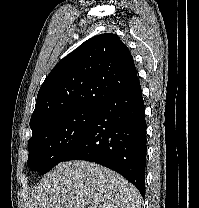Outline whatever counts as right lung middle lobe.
<instances>
[{"instance_id":"obj_1","label":"right lung middle lobe","mask_w":199,"mask_h":208,"mask_svg":"<svg viewBox=\"0 0 199 208\" xmlns=\"http://www.w3.org/2000/svg\"><path fill=\"white\" fill-rule=\"evenodd\" d=\"M97 106H86L57 114L32 128L28 141V166L41 174L62 161L88 128Z\"/></svg>"}]
</instances>
